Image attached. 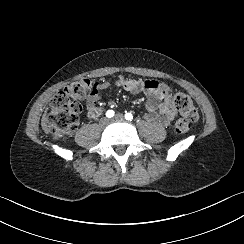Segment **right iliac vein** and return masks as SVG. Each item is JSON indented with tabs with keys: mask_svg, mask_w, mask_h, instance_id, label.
<instances>
[{
	"mask_svg": "<svg viewBox=\"0 0 244 244\" xmlns=\"http://www.w3.org/2000/svg\"><path fill=\"white\" fill-rule=\"evenodd\" d=\"M109 123V119L107 117H103L100 121L101 126H106Z\"/></svg>",
	"mask_w": 244,
	"mask_h": 244,
	"instance_id": "obj_1",
	"label": "right iliac vein"
}]
</instances>
